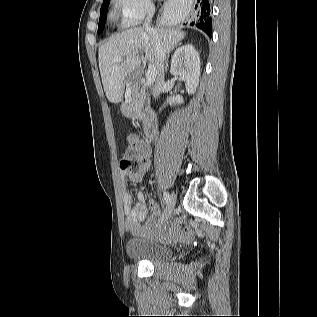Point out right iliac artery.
<instances>
[{
    "mask_svg": "<svg viewBox=\"0 0 317 317\" xmlns=\"http://www.w3.org/2000/svg\"><path fill=\"white\" fill-rule=\"evenodd\" d=\"M163 198H164L165 203L168 204V202H169V200H170V195H169V193L164 192V193H163Z\"/></svg>",
    "mask_w": 317,
    "mask_h": 317,
    "instance_id": "right-iliac-artery-1",
    "label": "right iliac artery"
}]
</instances>
